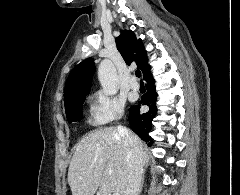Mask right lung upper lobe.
Instances as JSON below:
<instances>
[{
  "mask_svg": "<svg viewBox=\"0 0 240 195\" xmlns=\"http://www.w3.org/2000/svg\"><path fill=\"white\" fill-rule=\"evenodd\" d=\"M116 45L127 64L136 62L138 68L143 73L145 81L152 76L142 41L141 39L137 40L132 31L122 30L120 36L116 38ZM94 72L95 64L92 58H88L74 67L68 76L65 86V106L76 99L85 98L90 91Z\"/></svg>",
  "mask_w": 240,
  "mask_h": 195,
  "instance_id": "cb5924a9",
  "label": "right lung upper lobe"
}]
</instances>
